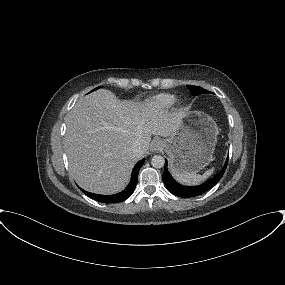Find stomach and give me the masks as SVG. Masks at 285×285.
Segmentation results:
<instances>
[{"label": "stomach", "mask_w": 285, "mask_h": 285, "mask_svg": "<svg viewBox=\"0 0 285 285\" xmlns=\"http://www.w3.org/2000/svg\"><path fill=\"white\" fill-rule=\"evenodd\" d=\"M218 132L216 122L209 115L189 113L175 133L164 140L171 172L197 173L206 167L212 161Z\"/></svg>", "instance_id": "stomach-1"}]
</instances>
